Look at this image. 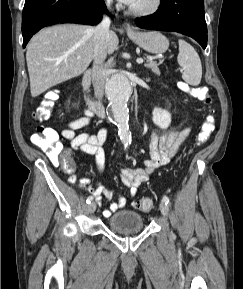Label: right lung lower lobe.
Wrapping results in <instances>:
<instances>
[{
  "label": "right lung lower lobe",
  "mask_w": 243,
  "mask_h": 289,
  "mask_svg": "<svg viewBox=\"0 0 243 289\" xmlns=\"http://www.w3.org/2000/svg\"><path fill=\"white\" fill-rule=\"evenodd\" d=\"M107 11L103 0H26L22 13L23 47L41 28L56 23L95 25Z\"/></svg>",
  "instance_id": "right-lung-lower-lobe-1"
}]
</instances>
